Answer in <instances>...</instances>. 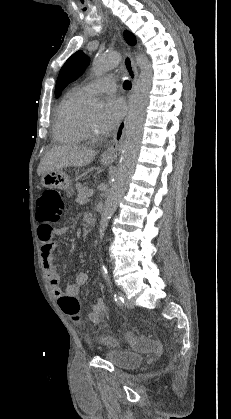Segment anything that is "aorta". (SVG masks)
I'll use <instances>...</instances> for the list:
<instances>
[{
  "label": "aorta",
  "mask_w": 231,
  "mask_h": 419,
  "mask_svg": "<svg viewBox=\"0 0 231 419\" xmlns=\"http://www.w3.org/2000/svg\"><path fill=\"white\" fill-rule=\"evenodd\" d=\"M119 62L120 54L118 52L98 55L93 60L92 72L96 76H101L115 68ZM136 63L140 68V74L129 100V112L126 121V132L121 157L101 214L99 226L101 239L108 226L109 220L117 208L118 202L127 190L130 178L134 172L142 141L146 107L148 104L153 72L151 63L146 56L138 55L136 57ZM90 104L92 107L98 106L97 101L94 99L91 100Z\"/></svg>",
  "instance_id": "obj_1"
}]
</instances>
